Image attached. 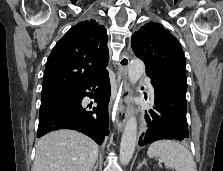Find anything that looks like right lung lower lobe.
<instances>
[{
    "instance_id": "right-lung-lower-lobe-1",
    "label": "right lung lower lobe",
    "mask_w": 223,
    "mask_h": 171,
    "mask_svg": "<svg viewBox=\"0 0 223 171\" xmlns=\"http://www.w3.org/2000/svg\"><path fill=\"white\" fill-rule=\"evenodd\" d=\"M86 90L93 92L88 93ZM85 96L94 98L97 102V107H93L92 112L85 111L82 107ZM109 99L110 81L107 71L81 87L41 96L37 137L57 129H74L100 145L109 134Z\"/></svg>"
}]
</instances>
